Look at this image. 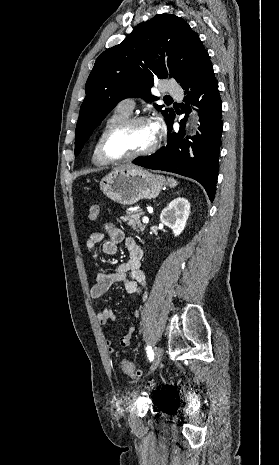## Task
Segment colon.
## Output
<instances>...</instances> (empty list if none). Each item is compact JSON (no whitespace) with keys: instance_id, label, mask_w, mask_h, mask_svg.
Instances as JSON below:
<instances>
[{"instance_id":"1","label":"colon","mask_w":279,"mask_h":465,"mask_svg":"<svg viewBox=\"0 0 279 465\" xmlns=\"http://www.w3.org/2000/svg\"><path fill=\"white\" fill-rule=\"evenodd\" d=\"M101 215V206L98 203H92L89 206V216L91 219L95 220ZM121 369L123 373L132 378H137L140 376V372L136 369L135 365L128 360H125L121 363Z\"/></svg>"}]
</instances>
